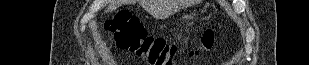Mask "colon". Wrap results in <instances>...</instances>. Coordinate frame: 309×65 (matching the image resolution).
<instances>
[{
  "label": "colon",
  "instance_id": "colon-1",
  "mask_svg": "<svg viewBox=\"0 0 309 65\" xmlns=\"http://www.w3.org/2000/svg\"><path fill=\"white\" fill-rule=\"evenodd\" d=\"M105 29L114 35L118 48L144 58L150 65H171L176 54V47L168 44L165 39L147 34L139 19L129 11L122 10L105 22ZM215 40L214 31L208 29L200 38V48H212ZM198 51H192L191 56Z\"/></svg>",
  "mask_w": 309,
  "mask_h": 65
}]
</instances>
